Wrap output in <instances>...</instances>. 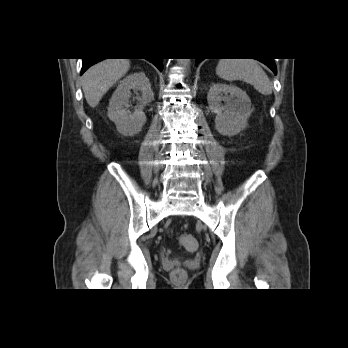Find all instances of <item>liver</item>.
Masks as SVG:
<instances>
[{
	"label": "liver",
	"instance_id": "liver-1",
	"mask_svg": "<svg viewBox=\"0 0 348 348\" xmlns=\"http://www.w3.org/2000/svg\"><path fill=\"white\" fill-rule=\"evenodd\" d=\"M128 59H105L90 67L82 77L87 103L96 107L103 95L129 70Z\"/></svg>",
	"mask_w": 348,
	"mask_h": 348
}]
</instances>
